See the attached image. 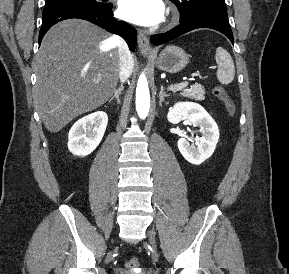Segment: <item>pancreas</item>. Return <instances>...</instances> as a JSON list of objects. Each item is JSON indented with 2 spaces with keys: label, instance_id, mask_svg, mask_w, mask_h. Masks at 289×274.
<instances>
[{
  "label": "pancreas",
  "instance_id": "cf45deb5",
  "mask_svg": "<svg viewBox=\"0 0 289 274\" xmlns=\"http://www.w3.org/2000/svg\"><path fill=\"white\" fill-rule=\"evenodd\" d=\"M180 90L182 91L180 94L184 97L197 101H202L205 99V90L200 84H194L190 86V88L182 87Z\"/></svg>",
  "mask_w": 289,
  "mask_h": 274
}]
</instances>
